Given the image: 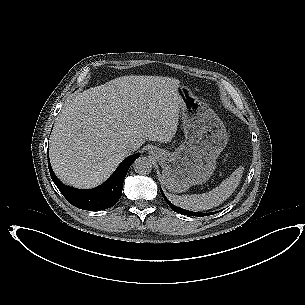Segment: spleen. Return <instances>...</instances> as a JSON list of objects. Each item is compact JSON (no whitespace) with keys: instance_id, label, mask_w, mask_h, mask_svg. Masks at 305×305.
I'll return each instance as SVG.
<instances>
[{"instance_id":"1","label":"spleen","mask_w":305,"mask_h":305,"mask_svg":"<svg viewBox=\"0 0 305 305\" xmlns=\"http://www.w3.org/2000/svg\"><path fill=\"white\" fill-rule=\"evenodd\" d=\"M239 175L237 171L233 172L219 186L203 194L179 196L169 193L168 198L174 205L186 210H208L222 204L233 193V186L238 182Z\"/></svg>"}]
</instances>
